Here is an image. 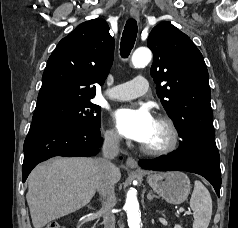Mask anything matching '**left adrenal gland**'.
I'll list each match as a JSON object with an SVG mask.
<instances>
[{"mask_svg":"<svg viewBox=\"0 0 238 228\" xmlns=\"http://www.w3.org/2000/svg\"><path fill=\"white\" fill-rule=\"evenodd\" d=\"M155 197H157V196L154 195V194L152 193V191H149V192H148V194H147V199H148V200H152V199H154Z\"/></svg>","mask_w":238,"mask_h":228,"instance_id":"1","label":"left adrenal gland"}]
</instances>
